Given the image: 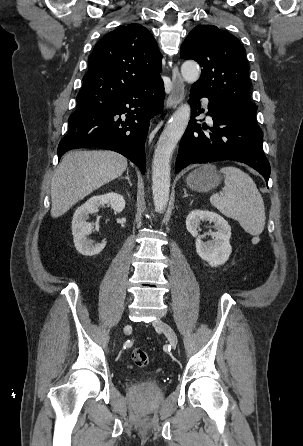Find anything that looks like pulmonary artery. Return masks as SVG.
<instances>
[{
	"instance_id": "pulmonary-artery-1",
	"label": "pulmonary artery",
	"mask_w": 303,
	"mask_h": 446,
	"mask_svg": "<svg viewBox=\"0 0 303 446\" xmlns=\"http://www.w3.org/2000/svg\"><path fill=\"white\" fill-rule=\"evenodd\" d=\"M203 102L206 103V100L204 99Z\"/></svg>"
}]
</instances>
